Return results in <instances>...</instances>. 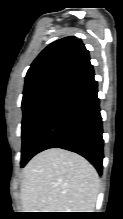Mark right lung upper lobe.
Listing matches in <instances>:
<instances>
[{
  "label": "right lung upper lobe",
  "instance_id": "1",
  "mask_svg": "<svg viewBox=\"0 0 123 219\" xmlns=\"http://www.w3.org/2000/svg\"><path fill=\"white\" fill-rule=\"evenodd\" d=\"M89 53L73 36L48 45L34 60L25 77L24 92L54 80H72L90 69Z\"/></svg>",
  "mask_w": 123,
  "mask_h": 219
}]
</instances>
